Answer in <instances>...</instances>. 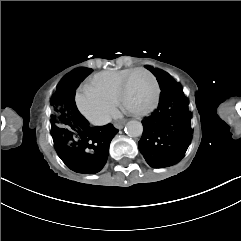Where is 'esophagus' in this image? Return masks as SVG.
Here are the masks:
<instances>
[{"mask_svg":"<svg viewBox=\"0 0 241 241\" xmlns=\"http://www.w3.org/2000/svg\"><path fill=\"white\" fill-rule=\"evenodd\" d=\"M125 125V122L124 121H120V122H115L114 123V126L117 128V129H122Z\"/></svg>","mask_w":241,"mask_h":241,"instance_id":"1","label":"esophagus"}]
</instances>
